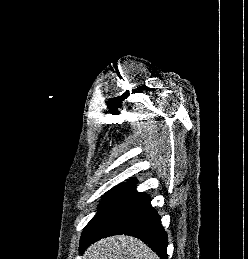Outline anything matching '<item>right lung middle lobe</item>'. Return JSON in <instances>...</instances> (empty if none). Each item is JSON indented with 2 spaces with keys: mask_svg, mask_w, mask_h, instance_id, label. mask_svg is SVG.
Returning <instances> with one entry per match:
<instances>
[{
  "mask_svg": "<svg viewBox=\"0 0 248 259\" xmlns=\"http://www.w3.org/2000/svg\"><path fill=\"white\" fill-rule=\"evenodd\" d=\"M132 187L133 186L131 185L120 184L106 193L101 204L99 205V210L97 211L96 215L84 228L81 239L87 236L98 225V223L103 219L110 208Z\"/></svg>",
  "mask_w": 248,
  "mask_h": 259,
  "instance_id": "right-lung-middle-lobe-1",
  "label": "right lung middle lobe"
}]
</instances>
